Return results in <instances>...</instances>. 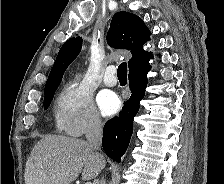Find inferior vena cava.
<instances>
[{"mask_svg": "<svg viewBox=\"0 0 224 184\" xmlns=\"http://www.w3.org/2000/svg\"><path fill=\"white\" fill-rule=\"evenodd\" d=\"M85 136L90 147L100 156H103L98 152L101 147L102 140V124L98 116L93 115L89 121L85 131ZM100 184H106L104 179L100 181Z\"/></svg>", "mask_w": 224, "mask_h": 184, "instance_id": "inferior-vena-cava-1", "label": "inferior vena cava"}]
</instances>
